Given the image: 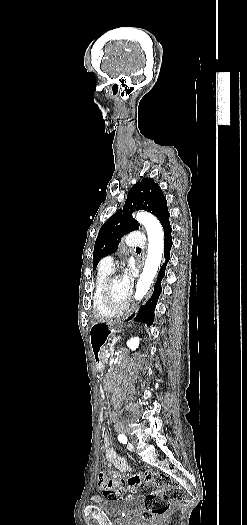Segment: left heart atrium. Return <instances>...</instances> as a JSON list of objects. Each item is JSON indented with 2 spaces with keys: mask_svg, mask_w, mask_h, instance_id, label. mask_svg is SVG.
<instances>
[{
  "mask_svg": "<svg viewBox=\"0 0 247 525\" xmlns=\"http://www.w3.org/2000/svg\"><path fill=\"white\" fill-rule=\"evenodd\" d=\"M133 265H134L133 262H131L130 266L132 267ZM132 282H133L132 276L130 275L128 271H126L124 276L121 278L120 286H119L120 292L124 296H127L130 293L131 288H132Z\"/></svg>",
  "mask_w": 247,
  "mask_h": 525,
  "instance_id": "39dd6f15",
  "label": "left heart atrium"
}]
</instances>
